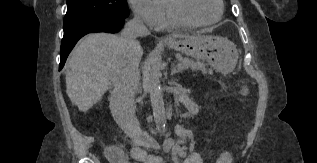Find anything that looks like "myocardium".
<instances>
[{
    "mask_svg": "<svg viewBox=\"0 0 317 163\" xmlns=\"http://www.w3.org/2000/svg\"><path fill=\"white\" fill-rule=\"evenodd\" d=\"M179 2L180 0H163L165 11L170 20L183 27H201L213 25L219 22L224 14V2L223 0H217L219 5V14L216 18L208 21L190 20L182 14L179 8Z\"/></svg>",
    "mask_w": 317,
    "mask_h": 163,
    "instance_id": "1",
    "label": "myocardium"
}]
</instances>
